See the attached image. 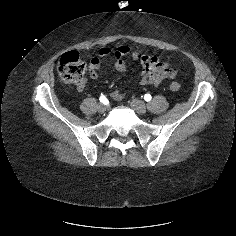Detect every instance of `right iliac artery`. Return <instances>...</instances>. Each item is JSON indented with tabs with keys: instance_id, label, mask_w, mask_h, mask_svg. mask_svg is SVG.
Wrapping results in <instances>:
<instances>
[{
	"instance_id": "right-iliac-artery-1",
	"label": "right iliac artery",
	"mask_w": 236,
	"mask_h": 236,
	"mask_svg": "<svg viewBox=\"0 0 236 236\" xmlns=\"http://www.w3.org/2000/svg\"><path fill=\"white\" fill-rule=\"evenodd\" d=\"M99 100H100V102L105 103L107 99L104 95H101Z\"/></svg>"
}]
</instances>
